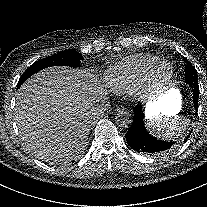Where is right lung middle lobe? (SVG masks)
<instances>
[{"label": "right lung middle lobe", "mask_w": 207, "mask_h": 207, "mask_svg": "<svg viewBox=\"0 0 207 207\" xmlns=\"http://www.w3.org/2000/svg\"><path fill=\"white\" fill-rule=\"evenodd\" d=\"M82 55L75 50H65L50 57L41 59L33 63L21 76L17 84L19 88L29 77L36 72L51 66H70L77 67L80 64Z\"/></svg>", "instance_id": "dd1d6c3e"}]
</instances>
